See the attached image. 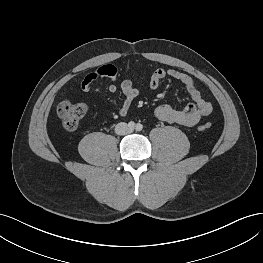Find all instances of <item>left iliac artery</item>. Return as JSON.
I'll list each match as a JSON object with an SVG mask.
<instances>
[{"label":"left iliac artery","mask_w":263,"mask_h":263,"mask_svg":"<svg viewBox=\"0 0 263 263\" xmlns=\"http://www.w3.org/2000/svg\"><path fill=\"white\" fill-rule=\"evenodd\" d=\"M142 129H143V125L140 124V123H138V124L136 125V130H137V131H141Z\"/></svg>","instance_id":"left-iliac-artery-1"}]
</instances>
